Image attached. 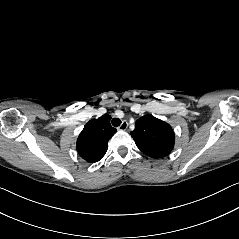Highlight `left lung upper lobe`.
Listing matches in <instances>:
<instances>
[{
    "instance_id": "left-lung-upper-lobe-1",
    "label": "left lung upper lobe",
    "mask_w": 239,
    "mask_h": 239,
    "mask_svg": "<svg viewBox=\"0 0 239 239\" xmlns=\"http://www.w3.org/2000/svg\"><path fill=\"white\" fill-rule=\"evenodd\" d=\"M130 134L137 147L152 158L165 157L174 147L175 135L171 126L150 114L139 118Z\"/></svg>"
}]
</instances>
